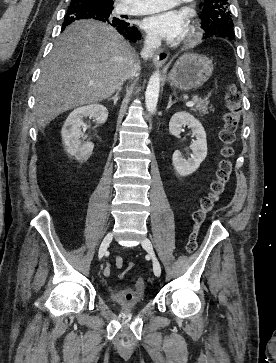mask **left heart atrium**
I'll use <instances>...</instances> for the list:
<instances>
[{
	"label": "left heart atrium",
	"mask_w": 276,
	"mask_h": 363,
	"mask_svg": "<svg viewBox=\"0 0 276 363\" xmlns=\"http://www.w3.org/2000/svg\"><path fill=\"white\" fill-rule=\"evenodd\" d=\"M143 25L154 37L169 41L183 39L189 30L187 15L174 10L149 16L144 20Z\"/></svg>",
	"instance_id": "39dd6f15"
}]
</instances>
